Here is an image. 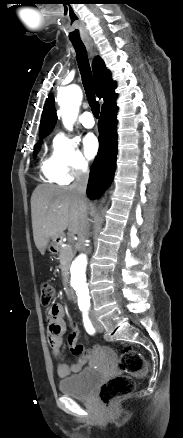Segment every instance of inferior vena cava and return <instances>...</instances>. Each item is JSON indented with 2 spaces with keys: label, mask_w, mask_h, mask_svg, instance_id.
Here are the masks:
<instances>
[{
  "label": "inferior vena cava",
  "mask_w": 183,
  "mask_h": 438,
  "mask_svg": "<svg viewBox=\"0 0 183 438\" xmlns=\"http://www.w3.org/2000/svg\"><path fill=\"white\" fill-rule=\"evenodd\" d=\"M88 178H89V172L87 168L78 169L75 172V180L70 186V188L74 190L77 193V195L81 198V200L84 202L87 201L86 188H87ZM88 227L89 224L86 215V221L84 222V229L80 234V243L82 245V250H84V241L85 239L88 238V234H89Z\"/></svg>",
  "instance_id": "602c4592"
}]
</instances>
